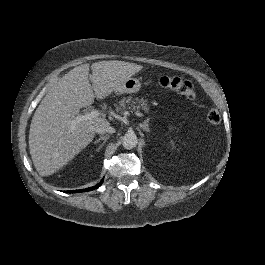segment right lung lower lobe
I'll return each mask as SVG.
<instances>
[{
	"instance_id": "1",
	"label": "right lung lower lobe",
	"mask_w": 265,
	"mask_h": 265,
	"mask_svg": "<svg viewBox=\"0 0 265 265\" xmlns=\"http://www.w3.org/2000/svg\"><path fill=\"white\" fill-rule=\"evenodd\" d=\"M103 182V179L101 180L100 183H98L96 186H93L91 188H86V189H81V190H74V191H65L67 193H77V192H87V191H91V190H94V189H97Z\"/></svg>"
}]
</instances>
